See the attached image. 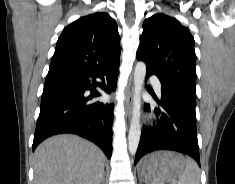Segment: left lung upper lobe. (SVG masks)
<instances>
[{
    "label": "left lung upper lobe",
    "instance_id": "5c2ea615",
    "mask_svg": "<svg viewBox=\"0 0 235 184\" xmlns=\"http://www.w3.org/2000/svg\"><path fill=\"white\" fill-rule=\"evenodd\" d=\"M137 58L166 86L196 101L194 38L178 20L165 14L146 19Z\"/></svg>",
    "mask_w": 235,
    "mask_h": 184
}]
</instances>
